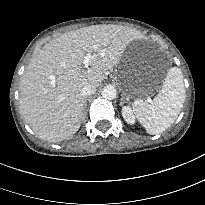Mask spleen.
Returning <instances> with one entry per match:
<instances>
[{
  "label": "spleen",
  "mask_w": 205,
  "mask_h": 205,
  "mask_svg": "<svg viewBox=\"0 0 205 205\" xmlns=\"http://www.w3.org/2000/svg\"><path fill=\"white\" fill-rule=\"evenodd\" d=\"M183 75L179 68L168 70L162 89L152 101L137 99L132 103L138 121L147 133L165 131L178 117L185 101Z\"/></svg>",
  "instance_id": "3e777b00"
}]
</instances>
